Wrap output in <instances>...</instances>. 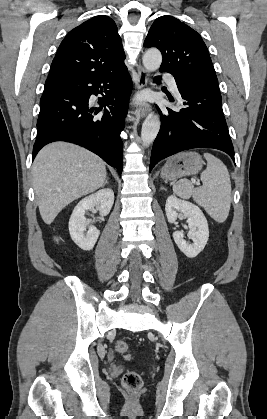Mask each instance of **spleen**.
Masks as SVG:
<instances>
[{"mask_svg": "<svg viewBox=\"0 0 267 419\" xmlns=\"http://www.w3.org/2000/svg\"><path fill=\"white\" fill-rule=\"evenodd\" d=\"M207 168L201 173L203 185L195 188L187 179L173 185V192L183 199L193 200L218 223H223L231 206V182L225 164L210 153H204Z\"/></svg>", "mask_w": 267, "mask_h": 419, "instance_id": "1", "label": "spleen"}]
</instances>
